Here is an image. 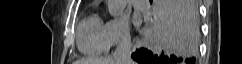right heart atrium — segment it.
Here are the masks:
<instances>
[{"mask_svg":"<svg viewBox=\"0 0 242 64\" xmlns=\"http://www.w3.org/2000/svg\"><path fill=\"white\" fill-rule=\"evenodd\" d=\"M105 28L110 46L130 43L129 23L126 18L118 17L111 19L106 23Z\"/></svg>","mask_w":242,"mask_h":64,"instance_id":"right-heart-atrium-1","label":"right heart atrium"}]
</instances>
